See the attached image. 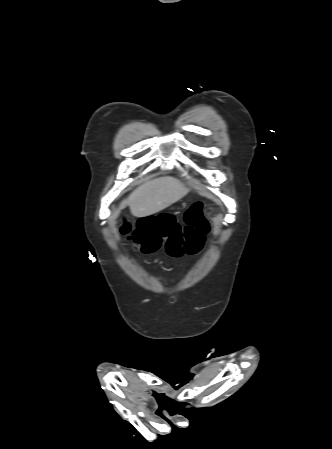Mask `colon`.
Masks as SVG:
<instances>
[{"label": "colon", "instance_id": "colon-1", "mask_svg": "<svg viewBox=\"0 0 332 449\" xmlns=\"http://www.w3.org/2000/svg\"><path fill=\"white\" fill-rule=\"evenodd\" d=\"M208 229L203 204L197 202L185 213L184 225L176 223L170 214H160L140 219L134 228L123 222L119 231L142 253H154L164 248L170 257H181L198 252Z\"/></svg>", "mask_w": 332, "mask_h": 449}]
</instances>
